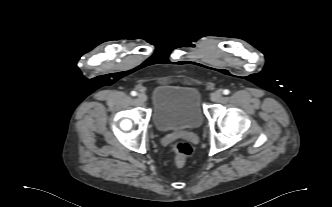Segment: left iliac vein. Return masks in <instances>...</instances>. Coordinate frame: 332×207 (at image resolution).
<instances>
[{"label": "left iliac vein", "instance_id": "4c4485c4", "mask_svg": "<svg viewBox=\"0 0 332 207\" xmlns=\"http://www.w3.org/2000/svg\"><path fill=\"white\" fill-rule=\"evenodd\" d=\"M222 96H223L222 92L220 90H218V91L213 92L211 94L210 98L213 102H218L221 100Z\"/></svg>", "mask_w": 332, "mask_h": 207}]
</instances>
